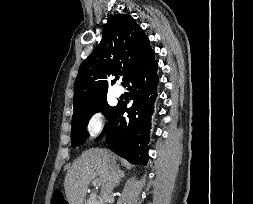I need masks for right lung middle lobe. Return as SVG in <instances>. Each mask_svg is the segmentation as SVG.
Returning a JSON list of instances; mask_svg holds the SVG:
<instances>
[{"label": "right lung middle lobe", "instance_id": "right-lung-middle-lobe-1", "mask_svg": "<svg viewBox=\"0 0 253 204\" xmlns=\"http://www.w3.org/2000/svg\"><path fill=\"white\" fill-rule=\"evenodd\" d=\"M115 108L116 107H110L108 105L106 96H104L84 107L74 110L71 131L72 145L75 147L85 141L86 137L88 136L87 124L94 113L102 111L105 115L108 116L109 122L113 112L115 111ZM103 133L99 136V138L103 136Z\"/></svg>", "mask_w": 253, "mask_h": 204}]
</instances>
